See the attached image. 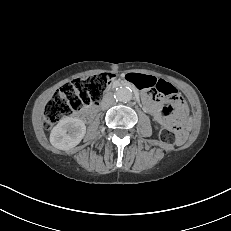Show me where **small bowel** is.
Masks as SVG:
<instances>
[{
  "label": "small bowel",
  "mask_w": 231,
  "mask_h": 231,
  "mask_svg": "<svg viewBox=\"0 0 231 231\" xmlns=\"http://www.w3.org/2000/svg\"><path fill=\"white\" fill-rule=\"evenodd\" d=\"M129 78L136 87L143 90L142 97L145 102L147 101V103H145V108L158 122L169 124L175 122L173 118H166L162 115L163 110L167 111L170 109L172 102L168 101L161 105L158 102L152 100L151 94L149 93V91L155 90L159 83L164 80L146 74H131ZM173 97L174 103L177 106H184V102L179 95L174 94Z\"/></svg>",
  "instance_id": "obj_1"
}]
</instances>
